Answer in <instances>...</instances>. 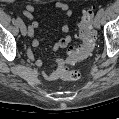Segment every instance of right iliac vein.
Instances as JSON below:
<instances>
[{
  "instance_id": "63e3f726",
  "label": "right iliac vein",
  "mask_w": 119,
  "mask_h": 119,
  "mask_svg": "<svg viewBox=\"0 0 119 119\" xmlns=\"http://www.w3.org/2000/svg\"><path fill=\"white\" fill-rule=\"evenodd\" d=\"M20 31H21V34H22L23 36H26V35H27V28H26V26H25L24 23H22V24L20 25Z\"/></svg>"
}]
</instances>
